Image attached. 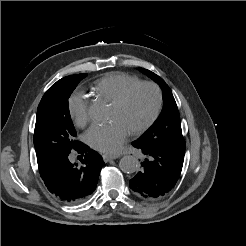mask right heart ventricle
Wrapping results in <instances>:
<instances>
[{"label":"right heart ventricle","instance_id":"1","mask_svg":"<svg viewBox=\"0 0 246 246\" xmlns=\"http://www.w3.org/2000/svg\"><path fill=\"white\" fill-rule=\"evenodd\" d=\"M138 82L140 79L133 75L110 73L95 82L94 91L113 102L124 90Z\"/></svg>","mask_w":246,"mask_h":246}]
</instances>
